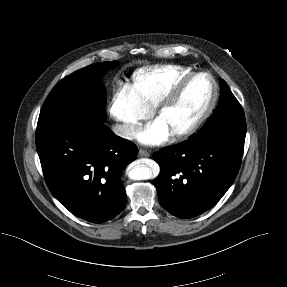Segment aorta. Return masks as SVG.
Listing matches in <instances>:
<instances>
[{"label":"aorta","instance_id":"1","mask_svg":"<svg viewBox=\"0 0 287 287\" xmlns=\"http://www.w3.org/2000/svg\"><path fill=\"white\" fill-rule=\"evenodd\" d=\"M158 172L159 167L156 163L141 164L129 172V177L133 180H147L153 178Z\"/></svg>","mask_w":287,"mask_h":287}]
</instances>
